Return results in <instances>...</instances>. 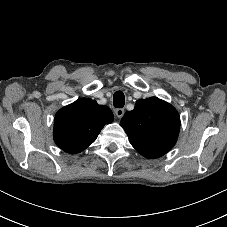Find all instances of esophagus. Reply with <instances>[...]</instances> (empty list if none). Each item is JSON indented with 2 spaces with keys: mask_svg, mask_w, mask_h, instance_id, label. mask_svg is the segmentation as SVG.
<instances>
[{
  "mask_svg": "<svg viewBox=\"0 0 227 227\" xmlns=\"http://www.w3.org/2000/svg\"><path fill=\"white\" fill-rule=\"evenodd\" d=\"M115 115H116L118 118L123 117V115H124V109H122V108L116 109V110H115Z\"/></svg>",
  "mask_w": 227,
  "mask_h": 227,
  "instance_id": "34e87169",
  "label": "esophagus"
}]
</instances>
